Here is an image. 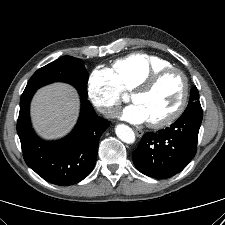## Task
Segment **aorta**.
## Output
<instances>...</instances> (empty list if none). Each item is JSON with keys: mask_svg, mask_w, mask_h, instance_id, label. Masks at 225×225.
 Returning <instances> with one entry per match:
<instances>
[{"mask_svg": "<svg viewBox=\"0 0 225 225\" xmlns=\"http://www.w3.org/2000/svg\"><path fill=\"white\" fill-rule=\"evenodd\" d=\"M115 133L121 141L127 144H132L135 141V134L133 130L127 125L124 124L117 125L115 128Z\"/></svg>", "mask_w": 225, "mask_h": 225, "instance_id": "1", "label": "aorta"}]
</instances>
